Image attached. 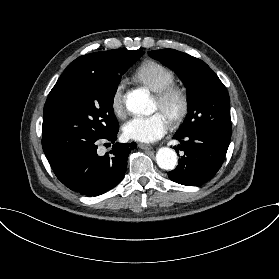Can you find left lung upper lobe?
<instances>
[{
  "instance_id": "obj_1",
  "label": "left lung upper lobe",
  "mask_w": 279,
  "mask_h": 279,
  "mask_svg": "<svg viewBox=\"0 0 279 279\" xmlns=\"http://www.w3.org/2000/svg\"><path fill=\"white\" fill-rule=\"evenodd\" d=\"M149 55L173 69L187 88L188 114L176 134L201 129L232 134L228 92L205 62L174 49L154 50Z\"/></svg>"
}]
</instances>
